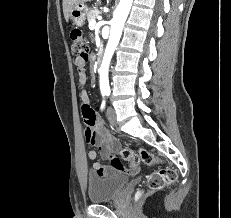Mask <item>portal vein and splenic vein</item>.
Instances as JSON below:
<instances>
[{
    "label": "portal vein and splenic vein",
    "mask_w": 231,
    "mask_h": 218,
    "mask_svg": "<svg viewBox=\"0 0 231 218\" xmlns=\"http://www.w3.org/2000/svg\"><path fill=\"white\" fill-rule=\"evenodd\" d=\"M95 25H96V21H95V20H94V21H91V22L89 23V27H90V28L95 27Z\"/></svg>",
    "instance_id": "portal-vein-and-splenic-vein-1"
}]
</instances>
